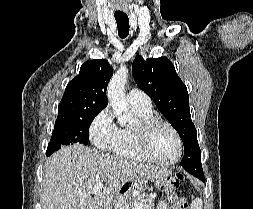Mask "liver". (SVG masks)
Instances as JSON below:
<instances>
[{"label":"liver","mask_w":253,"mask_h":209,"mask_svg":"<svg viewBox=\"0 0 253 209\" xmlns=\"http://www.w3.org/2000/svg\"><path fill=\"white\" fill-rule=\"evenodd\" d=\"M171 172L157 166L110 156L80 144L62 147L45 162L42 209H112L115 194L127 182L139 188ZM105 183L92 193L96 183ZM94 194V197H92Z\"/></svg>","instance_id":"liver-1"}]
</instances>
